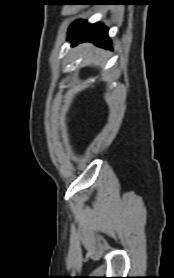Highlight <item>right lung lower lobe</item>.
Instances as JSON below:
<instances>
[{"instance_id":"right-lung-lower-lobe-1","label":"right lung lower lobe","mask_w":174,"mask_h":278,"mask_svg":"<svg viewBox=\"0 0 174 278\" xmlns=\"http://www.w3.org/2000/svg\"><path fill=\"white\" fill-rule=\"evenodd\" d=\"M108 29L102 24H87L79 20L71 25L68 31V39L73 41V46L80 42H94L95 44L111 49V43L108 38Z\"/></svg>"}]
</instances>
